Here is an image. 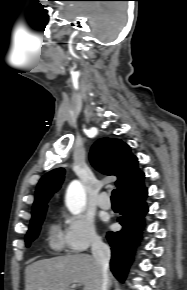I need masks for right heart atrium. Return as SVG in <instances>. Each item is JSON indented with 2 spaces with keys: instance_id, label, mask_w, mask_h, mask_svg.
I'll list each match as a JSON object with an SVG mask.
<instances>
[{
  "instance_id": "1",
  "label": "right heart atrium",
  "mask_w": 187,
  "mask_h": 290,
  "mask_svg": "<svg viewBox=\"0 0 187 290\" xmlns=\"http://www.w3.org/2000/svg\"><path fill=\"white\" fill-rule=\"evenodd\" d=\"M64 242L68 251L80 253L100 243L92 219L84 215H64Z\"/></svg>"
}]
</instances>
